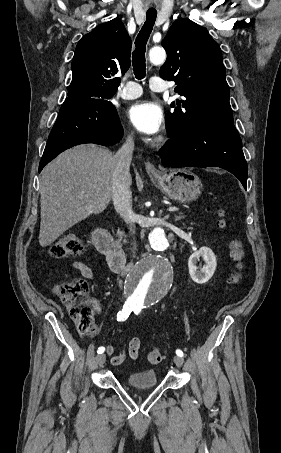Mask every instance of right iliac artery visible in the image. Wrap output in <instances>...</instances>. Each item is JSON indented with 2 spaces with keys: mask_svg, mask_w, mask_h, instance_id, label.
I'll return each instance as SVG.
<instances>
[{
  "mask_svg": "<svg viewBox=\"0 0 281 453\" xmlns=\"http://www.w3.org/2000/svg\"><path fill=\"white\" fill-rule=\"evenodd\" d=\"M133 310V306L130 304H124L122 311L117 314V321H125ZM105 351L104 347H99L97 353L102 354Z\"/></svg>",
  "mask_w": 281,
  "mask_h": 453,
  "instance_id": "82829eb1",
  "label": "right iliac artery"
}]
</instances>
